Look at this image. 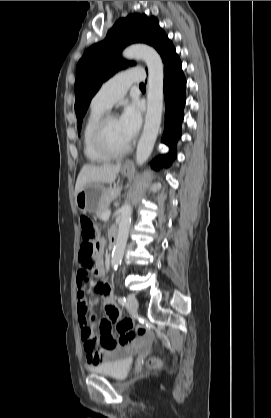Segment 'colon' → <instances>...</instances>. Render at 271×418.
I'll return each instance as SVG.
<instances>
[{"label": "colon", "instance_id": "1", "mask_svg": "<svg viewBox=\"0 0 271 418\" xmlns=\"http://www.w3.org/2000/svg\"><path fill=\"white\" fill-rule=\"evenodd\" d=\"M79 225L81 229V236H82V245L86 244L88 241L95 242V247L97 245V237H98V231L93 222L90 218L86 216H82L79 220ZM94 260V259H93ZM133 322L131 319H123L118 325L117 330L121 333L120 336V342L122 343H128L130 342L134 337L135 333L132 331ZM147 329L144 327H138L136 333L139 336H145L147 335ZM155 365H157L159 362L157 360L153 361Z\"/></svg>", "mask_w": 271, "mask_h": 418}]
</instances>
